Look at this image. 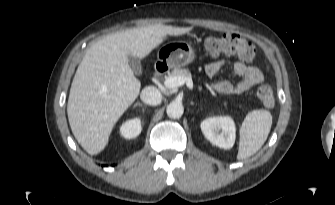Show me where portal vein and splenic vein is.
<instances>
[{
	"label": "portal vein and splenic vein",
	"mask_w": 335,
	"mask_h": 205,
	"mask_svg": "<svg viewBox=\"0 0 335 205\" xmlns=\"http://www.w3.org/2000/svg\"><path fill=\"white\" fill-rule=\"evenodd\" d=\"M184 84H186L189 89H192L193 88L192 78L174 76V77H168L164 80V85L170 89L183 86Z\"/></svg>",
	"instance_id": "18ae733b"
}]
</instances>
